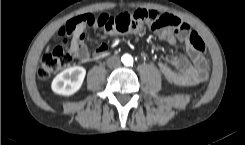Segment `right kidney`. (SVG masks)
Listing matches in <instances>:
<instances>
[{"instance_id": "ca27d5eb", "label": "right kidney", "mask_w": 245, "mask_h": 145, "mask_svg": "<svg viewBox=\"0 0 245 145\" xmlns=\"http://www.w3.org/2000/svg\"><path fill=\"white\" fill-rule=\"evenodd\" d=\"M86 75L85 68L74 66L59 73L52 81L53 92L69 96L76 93L82 86Z\"/></svg>"}]
</instances>
